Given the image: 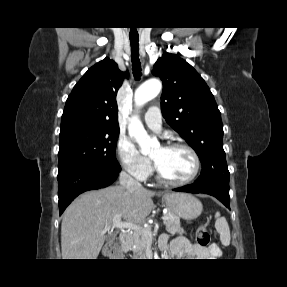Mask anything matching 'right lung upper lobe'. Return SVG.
Segmentation results:
<instances>
[{"instance_id": "obj_1", "label": "right lung upper lobe", "mask_w": 287, "mask_h": 287, "mask_svg": "<svg viewBox=\"0 0 287 287\" xmlns=\"http://www.w3.org/2000/svg\"><path fill=\"white\" fill-rule=\"evenodd\" d=\"M127 73L105 58L92 66L74 86L65 104L61 129L89 124L98 128L119 129L116 94Z\"/></svg>"}]
</instances>
